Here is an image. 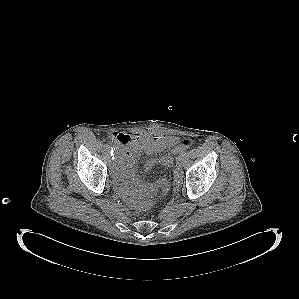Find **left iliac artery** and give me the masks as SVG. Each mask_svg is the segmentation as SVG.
Returning <instances> with one entry per match:
<instances>
[{
    "label": "left iliac artery",
    "mask_w": 299,
    "mask_h": 299,
    "mask_svg": "<svg viewBox=\"0 0 299 299\" xmlns=\"http://www.w3.org/2000/svg\"><path fill=\"white\" fill-rule=\"evenodd\" d=\"M180 155L185 156L186 155V151L182 150L181 153H180Z\"/></svg>",
    "instance_id": "left-iliac-artery-1"
}]
</instances>
